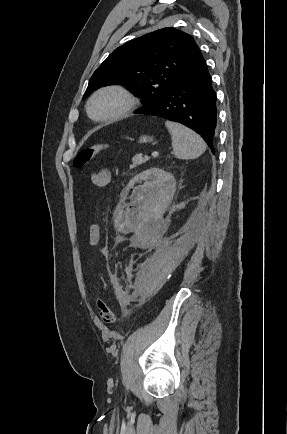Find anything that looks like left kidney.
<instances>
[{"mask_svg": "<svg viewBox=\"0 0 287 434\" xmlns=\"http://www.w3.org/2000/svg\"><path fill=\"white\" fill-rule=\"evenodd\" d=\"M142 181L144 184L135 187L131 195V200L138 206L132 213V222L149 218L152 211L158 208L164 210L176 191L174 176L160 168H151L138 174L130 181L128 187Z\"/></svg>", "mask_w": 287, "mask_h": 434, "instance_id": "obj_1", "label": "left kidney"}]
</instances>
